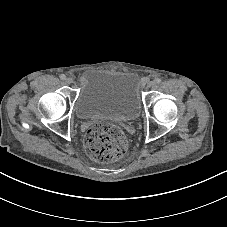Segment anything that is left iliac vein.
I'll use <instances>...</instances> for the list:
<instances>
[{
	"label": "left iliac vein",
	"mask_w": 227,
	"mask_h": 227,
	"mask_svg": "<svg viewBox=\"0 0 227 227\" xmlns=\"http://www.w3.org/2000/svg\"><path fill=\"white\" fill-rule=\"evenodd\" d=\"M156 85V83L154 81H150L148 83V87H154Z\"/></svg>",
	"instance_id": "left-iliac-vein-1"
}]
</instances>
